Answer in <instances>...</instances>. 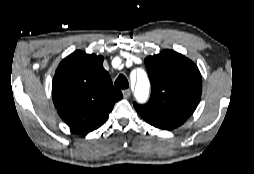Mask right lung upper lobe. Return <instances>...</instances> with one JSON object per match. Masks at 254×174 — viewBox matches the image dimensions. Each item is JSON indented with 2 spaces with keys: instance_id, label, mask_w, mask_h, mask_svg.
Masks as SVG:
<instances>
[{
  "instance_id": "obj_1",
  "label": "right lung upper lobe",
  "mask_w": 254,
  "mask_h": 174,
  "mask_svg": "<svg viewBox=\"0 0 254 174\" xmlns=\"http://www.w3.org/2000/svg\"><path fill=\"white\" fill-rule=\"evenodd\" d=\"M102 56L73 52L59 64L52 82V98L59 116L75 131L100 127L121 100L103 68Z\"/></svg>"
}]
</instances>
